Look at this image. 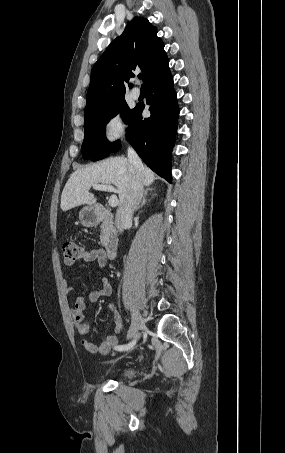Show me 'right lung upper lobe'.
<instances>
[{
    "label": "right lung upper lobe",
    "mask_w": 285,
    "mask_h": 453,
    "mask_svg": "<svg viewBox=\"0 0 285 453\" xmlns=\"http://www.w3.org/2000/svg\"><path fill=\"white\" fill-rule=\"evenodd\" d=\"M164 44L148 19L134 17L114 39L91 70L84 114L124 97L126 85L141 68L146 82L168 67ZM132 84H129L131 87Z\"/></svg>",
    "instance_id": "right-lung-upper-lobe-1"
}]
</instances>
